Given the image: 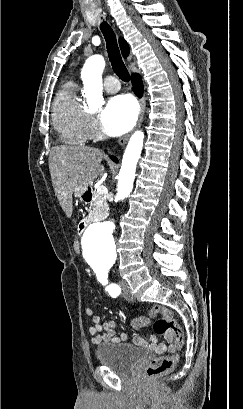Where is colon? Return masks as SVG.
<instances>
[{
  "label": "colon",
  "instance_id": "obj_1",
  "mask_svg": "<svg viewBox=\"0 0 243 409\" xmlns=\"http://www.w3.org/2000/svg\"><path fill=\"white\" fill-rule=\"evenodd\" d=\"M73 250L76 253L80 251L79 242L77 240L73 242ZM156 317L158 318L153 325L155 333L163 336L166 340H173L176 349H180L184 342L183 332L174 319L171 310L168 308L156 305L150 310L147 316L135 319L132 325L135 328H142L147 326L152 318ZM177 361L178 355L176 353L156 357L146 366L145 374L150 379L166 374L173 370Z\"/></svg>",
  "mask_w": 243,
  "mask_h": 409
}]
</instances>
